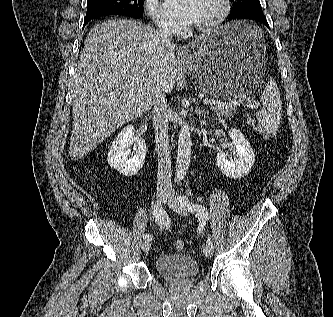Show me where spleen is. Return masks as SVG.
I'll use <instances>...</instances> for the list:
<instances>
[{
  "mask_svg": "<svg viewBox=\"0 0 333 317\" xmlns=\"http://www.w3.org/2000/svg\"><path fill=\"white\" fill-rule=\"evenodd\" d=\"M257 30L261 31L257 26ZM263 108L257 112L259 127L267 134L277 131L282 119V102L278 86L274 80L268 81L261 96Z\"/></svg>",
  "mask_w": 333,
  "mask_h": 317,
  "instance_id": "spleen-1",
  "label": "spleen"
}]
</instances>
